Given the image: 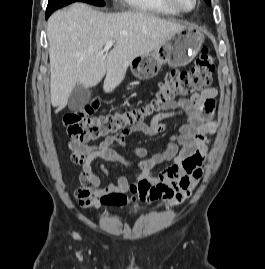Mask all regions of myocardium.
Returning <instances> with one entry per match:
<instances>
[{
    "instance_id": "obj_1",
    "label": "myocardium",
    "mask_w": 265,
    "mask_h": 269,
    "mask_svg": "<svg viewBox=\"0 0 265 269\" xmlns=\"http://www.w3.org/2000/svg\"><path fill=\"white\" fill-rule=\"evenodd\" d=\"M166 5H168L169 7H171L172 9L181 12V13H188L193 11L198 3V0H193V5L191 8H185L183 6H181L177 0H162Z\"/></svg>"
}]
</instances>
